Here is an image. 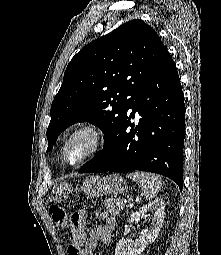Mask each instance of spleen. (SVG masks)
I'll return each mask as SVG.
<instances>
[{
	"instance_id": "3e777b00",
	"label": "spleen",
	"mask_w": 221,
	"mask_h": 255,
	"mask_svg": "<svg viewBox=\"0 0 221 255\" xmlns=\"http://www.w3.org/2000/svg\"><path fill=\"white\" fill-rule=\"evenodd\" d=\"M142 188L146 198L152 200L161 188V177L147 172H133L127 175Z\"/></svg>"
}]
</instances>
